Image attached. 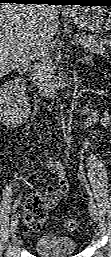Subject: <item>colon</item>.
Returning <instances> with one entry per match:
<instances>
[{
	"mask_svg": "<svg viewBox=\"0 0 111 257\" xmlns=\"http://www.w3.org/2000/svg\"><path fill=\"white\" fill-rule=\"evenodd\" d=\"M64 227L67 231H74L77 228V223L74 219H68L64 222Z\"/></svg>",
	"mask_w": 111,
	"mask_h": 257,
	"instance_id": "5ec220e1",
	"label": "colon"
}]
</instances>
